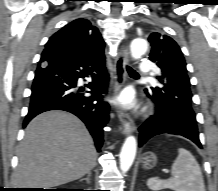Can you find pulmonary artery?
Here are the masks:
<instances>
[{
    "instance_id": "obj_1",
    "label": "pulmonary artery",
    "mask_w": 218,
    "mask_h": 191,
    "mask_svg": "<svg viewBox=\"0 0 218 191\" xmlns=\"http://www.w3.org/2000/svg\"><path fill=\"white\" fill-rule=\"evenodd\" d=\"M151 69V62L149 60H144L140 63L139 72L140 75H148Z\"/></svg>"
}]
</instances>
